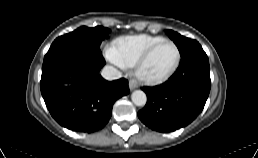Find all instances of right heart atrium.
Wrapping results in <instances>:
<instances>
[{
	"instance_id": "obj_1",
	"label": "right heart atrium",
	"mask_w": 258,
	"mask_h": 158,
	"mask_svg": "<svg viewBox=\"0 0 258 158\" xmlns=\"http://www.w3.org/2000/svg\"><path fill=\"white\" fill-rule=\"evenodd\" d=\"M107 57L109 60L114 63L116 66H118L121 69H126L127 67L118 59V56L116 54V51L113 47L110 49H107Z\"/></svg>"
}]
</instances>
